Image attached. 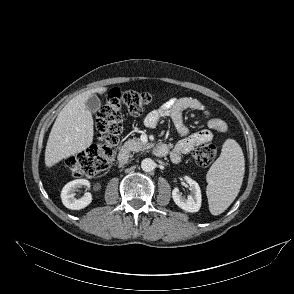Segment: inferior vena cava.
I'll return each mask as SVG.
<instances>
[{
    "mask_svg": "<svg viewBox=\"0 0 294 294\" xmlns=\"http://www.w3.org/2000/svg\"><path fill=\"white\" fill-rule=\"evenodd\" d=\"M122 162H126V159H124Z\"/></svg>",
    "mask_w": 294,
    "mask_h": 294,
    "instance_id": "1",
    "label": "inferior vena cava"
}]
</instances>
